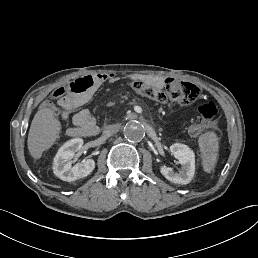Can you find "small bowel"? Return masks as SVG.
Instances as JSON below:
<instances>
[{"instance_id": "1", "label": "small bowel", "mask_w": 258, "mask_h": 258, "mask_svg": "<svg viewBox=\"0 0 258 258\" xmlns=\"http://www.w3.org/2000/svg\"><path fill=\"white\" fill-rule=\"evenodd\" d=\"M69 92L59 99L58 105L64 118L71 117L74 126L88 136L98 131L95 117L88 109H81L99 89L100 83L92 76H84L73 80Z\"/></svg>"}]
</instances>
